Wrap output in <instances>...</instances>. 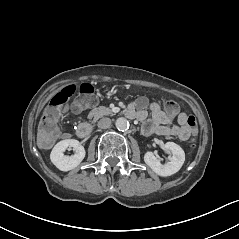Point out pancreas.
I'll use <instances>...</instances> for the list:
<instances>
[{
  "instance_id": "pancreas-1",
  "label": "pancreas",
  "mask_w": 239,
  "mask_h": 239,
  "mask_svg": "<svg viewBox=\"0 0 239 239\" xmlns=\"http://www.w3.org/2000/svg\"><path fill=\"white\" fill-rule=\"evenodd\" d=\"M110 114H113L110 108L100 106L98 108H94L89 112L88 119H93V121L96 122L99 118Z\"/></svg>"
}]
</instances>
